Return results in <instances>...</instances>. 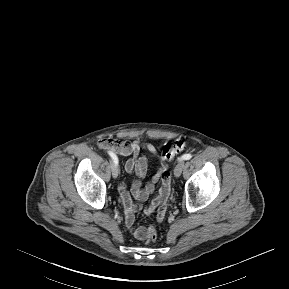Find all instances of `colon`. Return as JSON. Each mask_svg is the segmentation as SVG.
I'll use <instances>...</instances> for the list:
<instances>
[{
    "label": "colon",
    "instance_id": "colon-1",
    "mask_svg": "<svg viewBox=\"0 0 289 289\" xmlns=\"http://www.w3.org/2000/svg\"><path fill=\"white\" fill-rule=\"evenodd\" d=\"M185 147V142L182 140H176L172 144L165 145L162 150V156L167 159L171 160L176 154L181 152ZM157 239V232L153 226H150L147 229V239L148 242H154Z\"/></svg>",
    "mask_w": 289,
    "mask_h": 289
}]
</instances>
